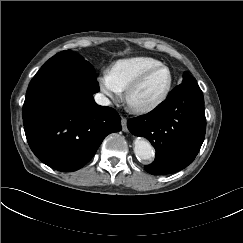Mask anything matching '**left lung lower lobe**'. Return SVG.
<instances>
[{"label":"left lung lower lobe","instance_id":"1","mask_svg":"<svg viewBox=\"0 0 243 243\" xmlns=\"http://www.w3.org/2000/svg\"><path fill=\"white\" fill-rule=\"evenodd\" d=\"M129 131L146 137L156 150L145 170L153 175L180 171L193 162L205 137L204 98L197 82L182 83L146 115L131 118Z\"/></svg>","mask_w":243,"mask_h":243}]
</instances>
